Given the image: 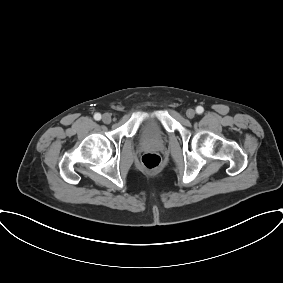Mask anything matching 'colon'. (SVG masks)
Instances as JSON below:
<instances>
[{
  "mask_svg": "<svg viewBox=\"0 0 283 283\" xmlns=\"http://www.w3.org/2000/svg\"><path fill=\"white\" fill-rule=\"evenodd\" d=\"M140 164L146 171H155L161 165V158L156 153H146L141 157Z\"/></svg>",
  "mask_w": 283,
  "mask_h": 283,
  "instance_id": "obj_1",
  "label": "colon"
}]
</instances>
